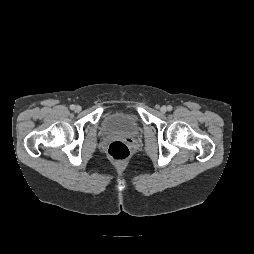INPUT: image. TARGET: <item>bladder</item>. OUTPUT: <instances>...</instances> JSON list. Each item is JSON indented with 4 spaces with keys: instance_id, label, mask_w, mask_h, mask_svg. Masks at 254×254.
I'll return each instance as SVG.
<instances>
[{
    "instance_id": "obj_1",
    "label": "bladder",
    "mask_w": 254,
    "mask_h": 254,
    "mask_svg": "<svg viewBox=\"0 0 254 254\" xmlns=\"http://www.w3.org/2000/svg\"><path fill=\"white\" fill-rule=\"evenodd\" d=\"M101 125L106 135L134 138L141 132L139 119L132 112H110L104 116Z\"/></svg>"
}]
</instances>
